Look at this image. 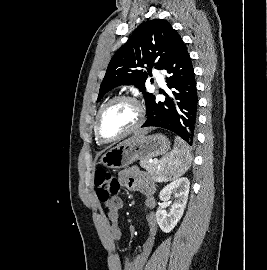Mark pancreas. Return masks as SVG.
Listing matches in <instances>:
<instances>
[{"label":"pancreas","mask_w":267,"mask_h":270,"mask_svg":"<svg viewBox=\"0 0 267 270\" xmlns=\"http://www.w3.org/2000/svg\"><path fill=\"white\" fill-rule=\"evenodd\" d=\"M140 166L152 175L153 180L156 181L159 179L160 170L158 169V163L141 160Z\"/></svg>","instance_id":"cf45deb5"}]
</instances>
